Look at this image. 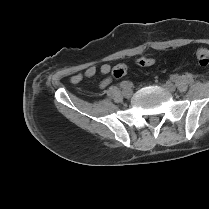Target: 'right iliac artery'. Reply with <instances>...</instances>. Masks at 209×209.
<instances>
[{
    "mask_svg": "<svg viewBox=\"0 0 209 209\" xmlns=\"http://www.w3.org/2000/svg\"><path fill=\"white\" fill-rule=\"evenodd\" d=\"M128 87H131V83L124 81L121 83V88L126 89Z\"/></svg>",
    "mask_w": 209,
    "mask_h": 209,
    "instance_id": "right-iliac-artery-1",
    "label": "right iliac artery"
}]
</instances>
